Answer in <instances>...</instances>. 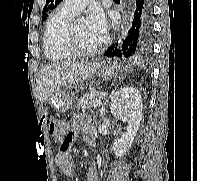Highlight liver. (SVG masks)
I'll list each match as a JSON object with an SVG mask.
<instances>
[{"mask_svg":"<svg viewBox=\"0 0 197 181\" xmlns=\"http://www.w3.org/2000/svg\"><path fill=\"white\" fill-rule=\"evenodd\" d=\"M98 64L95 62L64 61L53 63L42 68L37 78V95L41 102H45L59 88L82 83L91 77Z\"/></svg>","mask_w":197,"mask_h":181,"instance_id":"liver-1","label":"liver"}]
</instances>
